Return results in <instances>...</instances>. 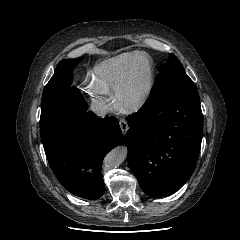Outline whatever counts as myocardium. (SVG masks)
I'll return each instance as SVG.
<instances>
[{
	"instance_id": "1",
	"label": "myocardium",
	"mask_w": 240,
	"mask_h": 240,
	"mask_svg": "<svg viewBox=\"0 0 240 240\" xmlns=\"http://www.w3.org/2000/svg\"><path fill=\"white\" fill-rule=\"evenodd\" d=\"M141 78L145 79V86L142 90L135 91ZM153 80V70L149 62L140 68H137L133 62L128 63L114 88V96L119 108L126 112L141 108L151 95Z\"/></svg>"
}]
</instances>
